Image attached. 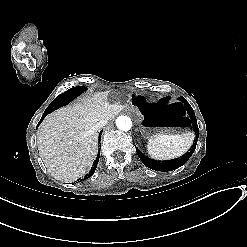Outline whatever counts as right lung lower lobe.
I'll return each mask as SVG.
<instances>
[{
  "mask_svg": "<svg viewBox=\"0 0 247 247\" xmlns=\"http://www.w3.org/2000/svg\"><path fill=\"white\" fill-rule=\"evenodd\" d=\"M46 115H48V114H47L46 112H44V114L42 115V118L40 119V121H39V123H38V125H37V127H38L39 124L43 121V119L45 118ZM99 155H100V154H99ZM98 161H99V156L96 158V160H95V162H94V164H93V168H92V170L90 171L88 177L92 176V174L95 172L96 167H97V164H98Z\"/></svg>",
  "mask_w": 247,
  "mask_h": 247,
  "instance_id": "obj_1",
  "label": "right lung lower lobe"
}]
</instances>
